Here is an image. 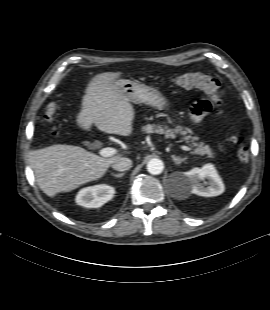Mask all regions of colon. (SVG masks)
<instances>
[{
	"label": "colon",
	"mask_w": 270,
	"mask_h": 310,
	"mask_svg": "<svg viewBox=\"0 0 270 310\" xmlns=\"http://www.w3.org/2000/svg\"><path fill=\"white\" fill-rule=\"evenodd\" d=\"M173 83L181 88H199L208 94L212 100L220 105L225 94V88L213 76L202 72H189L177 75L173 78ZM194 108L201 114H206L211 110V104L208 101H198ZM57 105L50 103L46 109L45 119L53 122ZM237 152V156L241 162H247L250 156L248 146V137L244 132L238 131L231 137Z\"/></svg>",
	"instance_id": "1"
}]
</instances>
